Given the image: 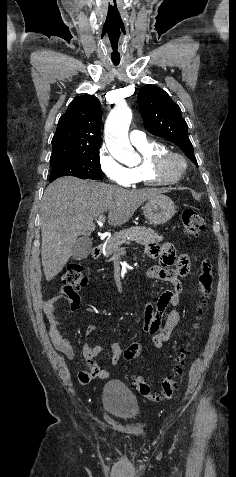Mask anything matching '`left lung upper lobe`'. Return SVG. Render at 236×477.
I'll return each instance as SVG.
<instances>
[{
	"instance_id": "5c2ea615",
	"label": "left lung upper lobe",
	"mask_w": 236,
	"mask_h": 477,
	"mask_svg": "<svg viewBox=\"0 0 236 477\" xmlns=\"http://www.w3.org/2000/svg\"><path fill=\"white\" fill-rule=\"evenodd\" d=\"M139 109L145 128L153 135L176 144L196 165L188 125L180 107L159 87L148 84L138 94Z\"/></svg>"
}]
</instances>
